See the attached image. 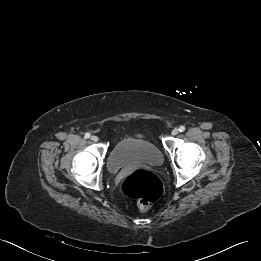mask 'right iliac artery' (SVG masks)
<instances>
[{
	"mask_svg": "<svg viewBox=\"0 0 261 261\" xmlns=\"http://www.w3.org/2000/svg\"><path fill=\"white\" fill-rule=\"evenodd\" d=\"M86 139L90 138V133H86L84 136Z\"/></svg>",
	"mask_w": 261,
	"mask_h": 261,
	"instance_id": "82829eb1",
	"label": "right iliac artery"
}]
</instances>
